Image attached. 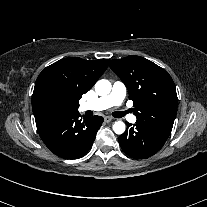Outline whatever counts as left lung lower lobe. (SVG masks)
Segmentation results:
<instances>
[{
    "label": "left lung lower lobe",
    "instance_id": "1",
    "mask_svg": "<svg viewBox=\"0 0 207 207\" xmlns=\"http://www.w3.org/2000/svg\"><path fill=\"white\" fill-rule=\"evenodd\" d=\"M172 128L136 121L127 123L126 131L118 137L123 151L135 159L148 158L157 153L168 139Z\"/></svg>",
    "mask_w": 207,
    "mask_h": 207
}]
</instances>
